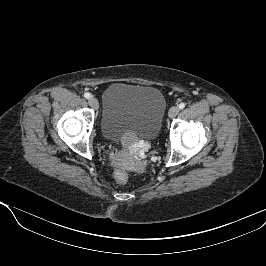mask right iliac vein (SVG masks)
<instances>
[{
    "instance_id": "1",
    "label": "right iliac vein",
    "mask_w": 266,
    "mask_h": 266,
    "mask_svg": "<svg viewBox=\"0 0 266 266\" xmlns=\"http://www.w3.org/2000/svg\"><path fill=\"white\" fill-rule=\"evenodd\" d=\"M89 105L93 108V109H97L99 106L98 100L94 97H91L88 101Z\"/></svg>"
}]
</instances>
